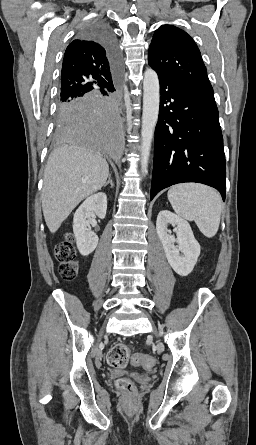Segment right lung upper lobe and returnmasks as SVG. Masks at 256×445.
I'll return each mask as SVG.
<instances>
[{"label":"right lung upper lobe","instance_id":"right-lung-upper-lobe-1","mask_svg":"<svg viewBox=\"0 0 256 445\" xmlns=\"http://www.w3.org/2000/svg\"><path fill=\"white\" fill-rule=\"evenodd\" d=\"M117 72L105 48L81 32L65 51L59 101L111 89Z\"/></svg>","mask_w":256,"mask_h":445}]
</instances>
